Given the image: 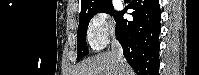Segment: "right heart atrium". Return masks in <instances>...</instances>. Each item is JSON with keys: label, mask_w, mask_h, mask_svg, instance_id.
Masks as SVG:
<instances>
[{"label": "right heart atrium", "mask_w": 199, "mask_h": 75, "mask_svg": "<svg viewBox=\"0 0 199 75\" xmlns=\"http://www.w3.org/2000/svg\"><path fill=\"white\" fill-rule=\"evenodd\" d=\"M115 25L106 13L94 15L87 25V41L91 48L102 49L114 36Z\"/></svg>", "instance_id": "1"}]
</instances>
